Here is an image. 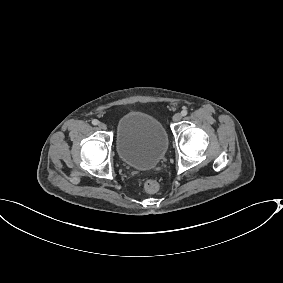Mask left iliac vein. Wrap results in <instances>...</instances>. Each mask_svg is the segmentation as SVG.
<instances>
[{
  "label": "left iliac vein",
  "mask_w": 283,
  "mask_h": 283,
  "mask_svg": "<svg viewBox=\"0 0 283 283\" xmlns=\"http://www.w3.org/2000/svg\"><path fill=\"white\" fill-rule=\"evenodd\" d=\"M172 119H173L174 122H178L182 119V115L180 113H176V114L173 115Z\"/></svg>",
  "instance_id": "obj_1"
}]
</instances>
